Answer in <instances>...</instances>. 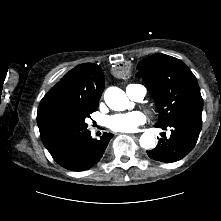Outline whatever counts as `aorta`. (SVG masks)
<instances>
[{
	"label": "aorta",
	"instance_id": "aorta-1",
	"mask_svg": "<svg viewBox=\"0 0 221 221\" xmlns=\"http://www.w3.org/2000/svg\"><path fill=\"white\" fill-rule=\"evenodd\" d=\"M104 99L108 107L115 111H123L130 105L127 95L118 87H109L105 91ZM139 142L142 148H153L155 146L154 134L150 132L143 133L139 139Z\"/></svg>",
	"mask_w": 221,
	"mask_h": 221
}]
</instances>
